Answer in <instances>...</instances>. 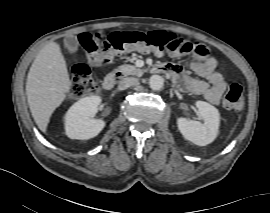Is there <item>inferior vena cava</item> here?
<instances>
[{"label": "inferior vena cava", "mask_w": 270, "mask_h": 213, "mask_svg": "<svg viewBox=\"0 0 270 213\" xmlns=\"http://www.w3.org/2000/svg\"><path fill=\"white\" fill-rule=\"evenodd\" d=\"M138 83V79L137 78H133V77H127V78H123L120 82L118 87L120 89H127L133 85H136Z\"/></svg>", "instance_id": "602c4592"}]
</instances>
